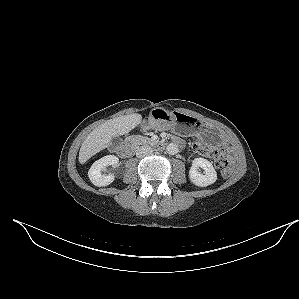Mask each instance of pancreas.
<instances>
[{"label":"pancreas","instance_id":"pancreas-1","mask_svg":"<svg viewBox=\"0 0 299 299\" xmlns=\"http://www.w3.org/2000/svg\"><path fill=\"white\" fill-rule=\"evenodd\" d=\"M130 140L135 144V145H140V144H144V143H148L149 142V138L148 137H143L140 135H135L132 136L130 138Z\"/></svg>","mask_w":299,"mask_h":299}]
</instances>
